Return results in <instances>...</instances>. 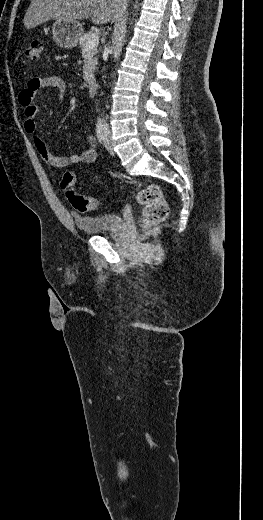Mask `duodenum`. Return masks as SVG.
<instances>
[{
  "instance_id": "duodenum-1",
  "label": "duodenum",
  "mask_w": 263,
  "mask_h": 520,
  "mask_svg": "<svg viewBox=\"0 0 263 520\" xmlns=\"http://www.w3.org/2000/svg\"><path fill=\"white\" fill-rule=\"evenodd\" d=\"M98 83L96 80H90L88 82V93L91 97H94L97 94Z\"/></svg>"
}]
</instances>
